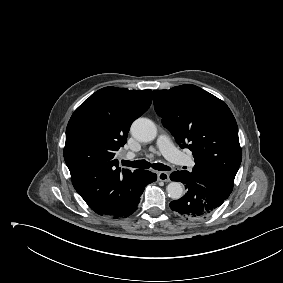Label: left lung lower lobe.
<instances>
[{"instance_id":"left-lung-lower-lobe-1","label":"left lung lower lobe","mask_w":283,"mask_h":283,"mask_svg":"<svg viewBox=\"0 0 283 283\" xmlns=\"http://www.w3.org/2000/svg\"><path fill=\"white\" fill-rule=\"evenodd\" d=\"M172 181H179L185 185L186 194L170 203V208L179 216L186 219H201L218 209L225 198L205 186L187 178L184 172L171 173Z\"/></svg>"}]
</instances>
